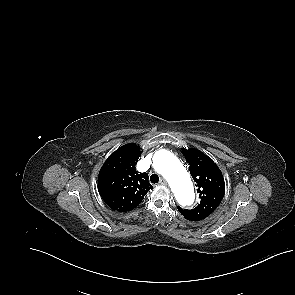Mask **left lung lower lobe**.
<instances>
[{
	"mask_svg": "<svg viewBox=\"0 0 295 295\" xmlns=\"http://www.w3.org/2000/svg\"><path fill=\"white\" fill-rule=\"evenodd\" d=\"M179 212H180V213H181L186 219H188V220H191V221H199V220H201L200 218L195 217V216H193V215H190V214H188V213L182 211L181 209H179Z\"/></svg>",
	"mask_w": 295,
	"mask_h": 295,
	"instance_id": "left-lung-lower-lobe-1",
	"label": "left lung lower lobe"
}]
</instances>
